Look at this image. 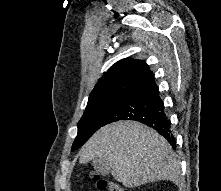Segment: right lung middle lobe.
I'll return each instance as SVG.
<instances>
[{"label":"right lung middle lobe","instance_id":"right-lung-middle-lobe-1","mask_svg":"<svg viewBox=\"0 0 221 191\" xmlns=\"http://www.w3.org/2000/svg\"><path fill=\"white\" fill-rule=\"evenodd\" d=\"M121 98L109 100L99 104L87 106L82 118L78 122V134L72 145V151L82 146L110 115Z\"/></svg>","mask_w":221,"mask_h":191}]
</instances>
